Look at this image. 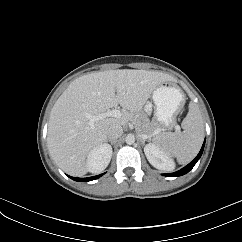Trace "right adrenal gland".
Segmentation results:
<instances>
[{
  "mask_svg": "<svg viewBox=\"0 0 242 242\" xmlns=\"http://www.w3.org/2000/svg\"><path fill=\"white\" fill-rule=\"evenodd\" d=\"M106 142H110L112 145L115 144V140H110V139H107Z\"/></svg>",
  "mask_w": 242,
  "mask_h": 242,
  "instance_id": "2a0ac1e0",
  "label": "right adrenal gland"
}]
</instances>
